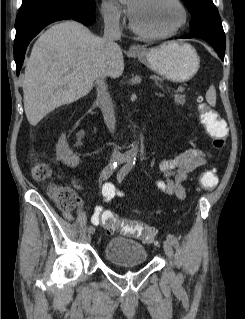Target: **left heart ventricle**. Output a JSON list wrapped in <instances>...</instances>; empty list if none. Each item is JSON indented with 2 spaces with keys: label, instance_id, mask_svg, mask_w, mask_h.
<instances>
[{
  "label": "left heart ventricle",
  "instance_id": "b2bd125f",
  "mask_svg": "<svg viewBox=\"0 0 245 319\" xmlns=\"http://www.w3.org/2000/svg\"><path fill=\"white\" fill-rule=\"evenodd\" d=\"M180 19V10L172 0H139L132 17L137 27L149 33L169 31Z\"/></svg>",
  "mask_w": 245,
  "mask_h": 319
}]
</instances>
